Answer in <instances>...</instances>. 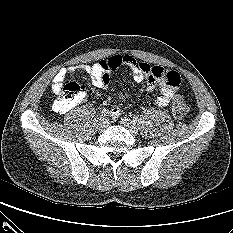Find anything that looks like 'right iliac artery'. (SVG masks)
<instances>
[{"label":"right iliac artery","instance_id":"1","mask_svg":"<svg viewBox=\"0 0 233 233\" xmlns=\"http://www.w3.org/2000/svg\"><path fill=\"white\" fill-rule=\"evenodd\" d=\"M109 112L107 109H103L102 112H101V117L102 118H106L108 116Z\"/></svg>","mask_w":233,"mask_h":233}]
</instances>
